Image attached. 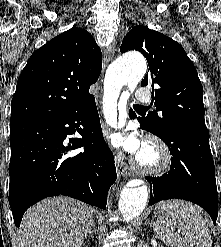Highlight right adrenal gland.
<instances>
[{"instance_id": "obj_1", "label": "right adrenal gland", "mask_w": 221, "mask_h": 247, "mask_svg": "<svg viewBox=\"0 0 221 247\" xmlns=\"http://www.w3.org/2000/svg\"><path fill=\"white\" fill-rule=\"evenodd\" d=\"M96 233V228H95V222L94 220L91 223V227L88 231L89 236H93V234Z\"/></svg>"}]
</instances>
